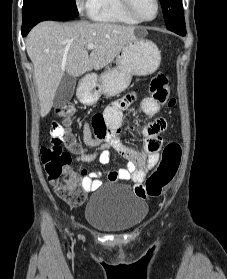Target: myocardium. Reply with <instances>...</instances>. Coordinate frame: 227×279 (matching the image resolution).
<instances>
[{
  "label": "myocardium",
  "instance_id": "f54148a6",
  "mask_svg": "<svg viewBox=\"0 0 227 279\" xmlns=\"http://www.w3.org/2000/svg\"><path fill=\"white\" fill-rule=\"evenodd\" d=\"M123 2V5L124 7L126 8V10L128 11V13L133 17L135 18L136 20H138L139 22H151L153 20H155L159 14V11H160V2L159 0H154L155 2V6H156V12H155V15L152 17V18H142L140 17L134 7H133V3H132V0H122Z\"/></svg>",
  "mask_w": 227,
  "mask_h": 279
}]
</instances>
